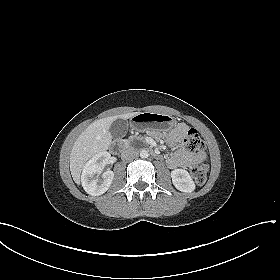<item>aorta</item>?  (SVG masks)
I'll return each mask as SVG.
<instances>
[{
    "instance_id": "1",
    "label": "aorta",
    "mask_w": 280,
    "mask_h": 280,
    "mask_svg": "<svg viewBox=\"0 0 280 280\" xmlns=\"http://www.w3.org/2000/svg\"><path fill=\"white\" fill-rule=\"evenodd\" d=\"M149 156V153L147 150H141L140 151V157L141 158H147Z\"/></svg>"
}]
</instances>
